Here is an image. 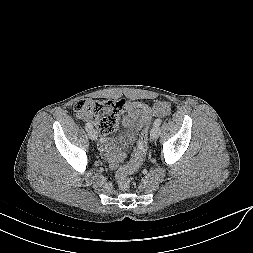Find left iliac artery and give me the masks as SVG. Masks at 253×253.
Segmentation results:
<instances>
[{"label":"left iliac artery","instance_id":"44dca946","mask_svg":"<svg viewBox=\"0 0 253 253\" xmlns=\"http://www.w3.org/2000/svg\"><path fill=\"white\" fill-rule=\"evenodd\" d=\"M161 122H162L161 119H156V120L154 121V126H160Z\"/></svg>","mask_w":253,"mask_h":253}]
</instances>
